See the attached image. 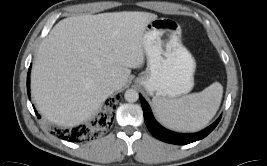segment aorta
<instances>
[{
    "instance_id": "aorta-1",
    "label": "aorta",
    "mask_w": 267,
    "mask_h": 166,
    "mask_svg": "<svg viewBox=\"0 0 267 166\" xmlns=\"http://www.w3.org/2000/svg\"><path fill=\"white\" fill-rule=\"evenodd\" d=\"M124 98L128 102H136L139 98V94L134 89H128L124 94Z\"/></svg>"
}]
</instances>
